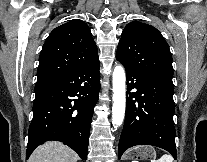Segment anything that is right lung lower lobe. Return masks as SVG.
<instances>
[{
  "label": "right lung lower lobe",
  "instance_id": "98d812e1",
  "mask_svg": "<svg viewBox=\"0 0 207 162\" xmlns=\"http://www.w3.org/2000/svg\"><path fill=\"white\" fill-rule=\"evenodd\" d=\"M99 65L98 61L37 81L26 159L41 143L56 140L87 160L91 119L100 90Z\"/></svg>",
  "mask_w": 207,
  "mask_h": 162
}]
</instances>
